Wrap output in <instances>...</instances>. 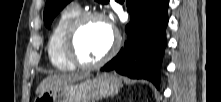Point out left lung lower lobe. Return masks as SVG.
<instances>
[{
  "label": "left lung lower lobe",
  "instance_id": "obj_1",
  "mask_svg": "<svg viewBox=\"0 0 221 102\" xmlns=\"http://www.w3.org/2000/svg\"><path fill=\"white\" fill-rule=\"evenodd\" d=\"M126 3L132 16L130 31L126 26L128 41L102 70H115L131 78L147 79L159 88V69L166 47L169 1L127 0Z\"/></svg>",
  "mask_w": 221,
  "mask_h": 102
}]
</instances>
